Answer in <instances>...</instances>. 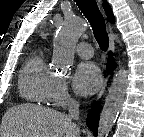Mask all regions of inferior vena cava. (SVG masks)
Segmentation results:
<instances>
[{"instance_id": "1", "label": "inferior vena cava", "mask_w": 144, "mask_h": 137, "mask_svg": "<svg viewBox=\"0 0 144 137\" xmlns=\"http://www.w3.org/2000/svg\"><path fill=\"white\" fill-rule=\"evenodd\" d=\"M68 116L72 119H79V102L71 99L68 105Z\"/></svg>"}]
</instances>
